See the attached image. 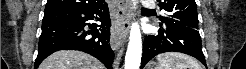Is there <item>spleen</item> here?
Segmentation results:
<instances>
[{"instance_id":"1","label":"spleen","mask_w":246,"mask_h":69,"mask_svg":"<svg viewBox=\"0 0 246 69\" xmlns=\"http://www.w3.org/2000/svg\"><path fill=\"white\" fill-rule=\"evenodd\" d=\"M160 69H201L198 62L188 55L167 52L157 57Z\"/></svg>"}]
</instances>
